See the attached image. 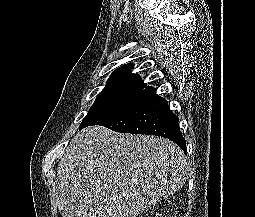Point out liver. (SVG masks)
Wrapping results in <instances>:
<instances>
[{
  "mask_svg": "<svg viewBox=\"0 0 255 217\" xmlns=\"http://www.w3.org/2000/svg\"><path fill=\"white\" fill-rule=\"evenodd\" d=\"M57 173L62 217H137L183 187L188 163L166 138L92 126L72 138Z\"/></svg>",
  "mask_w": 255,
  "mask_h": 217,
  "instance_id": "obj_1",
  "label": "liver"
}]
</instances>
